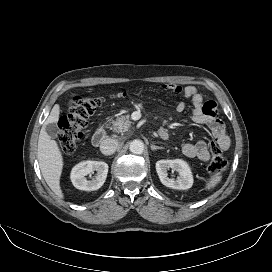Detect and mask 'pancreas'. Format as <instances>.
Masks as SVG:
<instances>
[{
    "mask_svg": "<svg viewBox=\"0 0 272 272\" xmlns=\"http://www.w3.org/2000/svg\"><path fill=\"white\" fill-rule=\"evenodd\" d=\"M131 126V121L129 120L128 115H121L112 120V129L114 132L124 133L129 130Z\"/></svg>",
    "mask_w": 272,
    "mask_h": 272,
    "instance_id": "1",
    "label": "pancreas"
}]
</instances>
